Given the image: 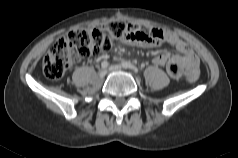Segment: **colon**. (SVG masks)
Masks as SVG:
<instances>
[{"mask_svg": "<svg viewBox=\"0 0 238 158\" xmlns=\"http://www.w3.org/2000/svg\"><path fill=\"white\" fill-rule=\"evenodd\" d=\"M132 36V26L124 21H112L98 28L73 29L51 47L45 56L42 69L52 80L61 78L77 60L98 55L110 49L116 40H128ZM199 68H187L185 79L194 83L199 78Z\"/></svg>", "mask_w": 238, "mask_h": 158, "instance_id": "colon-1", "label": "colon"}]
</instances>
